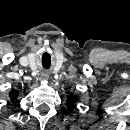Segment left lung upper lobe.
<instances>
[{
    "mask_svg": "<svg viewBox=\"0 0 130 130\" xmlns=\"http://www.w3.org/2000/svg\"><path fill=\"white\" fill-rule=\"evenodd\" d=\"M78 100V97L76 95L71 94L67 97L66 105L69 109L73 108L74 104Z\"/></svg>",
    "mask_w": 130,
    "mask_h": 130,
    "instance_id": "obj_1",
    "label": "left lung upper lobe"
}]
</instances>
